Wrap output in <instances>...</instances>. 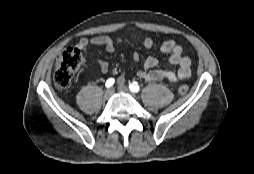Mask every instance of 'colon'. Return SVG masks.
I'll return each instance as SVG.
<instances>
[{
    "label": "colon",
    "instance_id": "obj_1",
    "mask_svg": "<svg viewBox=\"0 0 254 174\" xmlns=\"http://www.w3.org/2000/svg\"><path fill=\"white\" fill-rule=\"evenodd\" d=\"M83 61L84 55L78 47L66 48L59 54L53 73V81L57 89L63 90L70 86ZM178 90L179 93L186 94L189 88L187 85H181Z\"/></svg>",
    "mask_w": 254,
    "mask_h": 174
}]
</instances>
